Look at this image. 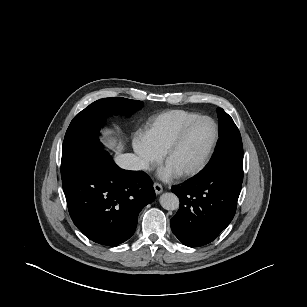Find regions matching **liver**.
Listing matches in <instances>:
<instances>
[{
    "label": "liver",
    "mask_w": 307,
    "mask_h": 307,
    "mask_svg": "<svg viewBox=\"0 0 307 307\" xmlns=\"http://www.w3.org/2000/svg\"><path fill=\"white\" fill-rule=\"evenodd\" d=\"M108 147H110L111 149H114V151L117 154V157L121 155V151L123 150L122 144L115 145L114 143H110Z\"/></svg>",
    "instance_id": "obj_1"
}]
</instances>
